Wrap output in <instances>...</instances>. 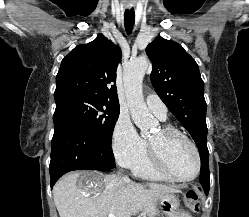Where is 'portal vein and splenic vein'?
Wrapping results in <instances>:
<instances>
[{
  "label": "portal vein and splenic vein",
  "mask_w": 249,
  "mask_h": 217,
  "mask_svg": "<svg viewBox=\"0 0 249 217\" xmlns=\"http://www.w3.org/2000/svg\"><path fill=\"white\" fill-rule=\"evenodd\" d=\"M108 217H115V215L113 213H110Z\"/></svg>",
  "instance_id": "18ae733b"
}]
</instances>
